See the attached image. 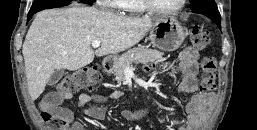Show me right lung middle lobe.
Wrapping results in <instances>:
<instances>
[{"instance_id":"dd1d6c3e","label":"right lung middle lobe","mask_w":257,"mask_h":130,"mask_svg":"<svg viewBox=\"0 0 257 130\" xmlns=\"http://www.w3.org/2000/svg\"><path fill=\"white\" fill-rule=\"evenodd\" d=\"M87 4H92L93 0H85ZM68 2L63 0H35L32 4V7L29 11V13L34 14L35 12L39 11L40 9L46 8V7H52L56 5H66Z\"/></svg>"}]
</instances>
